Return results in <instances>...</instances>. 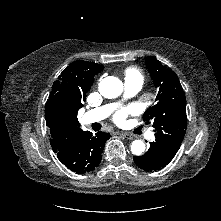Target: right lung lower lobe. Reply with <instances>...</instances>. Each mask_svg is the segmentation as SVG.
<instances>
[{"label": "right lung lower lobe", "instance_id": "obj_1", "mask_svg": "<svg viewBox=\"0 0 221 221\" xmlns=\"http://www.w3.org/2000/svg\"><path fill=\"white\" fill-rule=\"evenodd\" d=\"M109 138V133L98 132L92 135L84 131L74 147L57 152V157L77 174L90 172L100 164L105 143Z\"/></svg>", "mask_w": 221, "mask_h": 221}]
</instances>
